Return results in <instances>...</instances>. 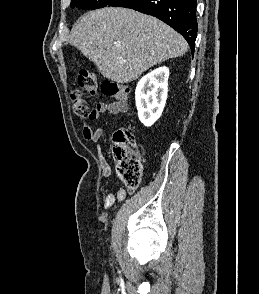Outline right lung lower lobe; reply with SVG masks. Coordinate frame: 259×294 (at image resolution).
Wrapping results in <instances>:
<instances>
[{"instance_id":"1","label":"right lung lower lobe","mask_w":259,"mask_h":294,"mask_svg":"<svg viewBox=\"0 0 259 294\" xmlns=\"http://www.w3.org/2000/svg\"><path fill=\"white\" fill-rule=\"evenodd\" d=\"M197 0H129L120 7L131 8L162 20L188 42L194 53L197 36Z\"/></svg>"}]
</instances>
